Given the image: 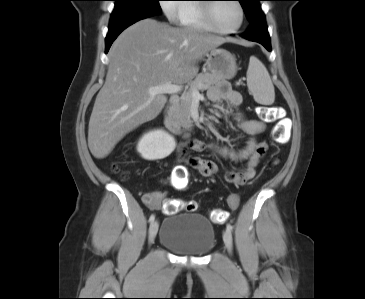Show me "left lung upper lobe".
Wrapping results in <instances>:
<instances>
[{"label":"left lung upper lobe","instance_id":"obj_1","mask_svg":"<svg viewBox=\"0 0 365 299\" xmlns=\"http://www.w3.org/2000/svg\"><path fill=\"white\" fill-rule=\"evenodd\" d=\"M246 14L248 21L252 24L259 19L264 18V13L261 9L259 1L262 0H238Z\"/></svg>","mask_w":365,"mask_h":299}]
</instances>
